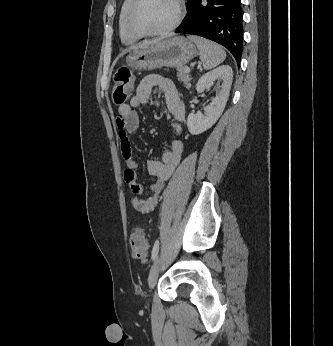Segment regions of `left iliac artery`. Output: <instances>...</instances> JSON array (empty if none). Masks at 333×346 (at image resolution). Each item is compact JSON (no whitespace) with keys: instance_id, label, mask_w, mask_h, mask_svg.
Masks as SVG:
<instances>
[{"instance_id":"1","label":"left iliac artery","mask_w":333,"mask_h":346,"mask_svg":"<svg viewBox=\"0 0 333 346\" xmlns=\"http://www.w3.org/2000/svg\"><path fill=\"white\" fill-rule=\"evenodd\" d=\"M158 251H159V241L156 240V242L153 246V249H152V255H151L152 261H154L155 258L157 257Z\"/></svg>"}]
</instances>
